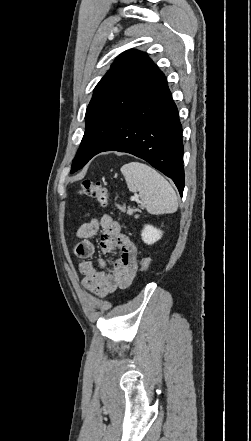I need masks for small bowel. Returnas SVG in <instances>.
<instances>
[{"instance_id":"1","label":"small bowel","mask_w":251,"mask_h":441,"mask_svg":"<svg viewBox=\"0 0 251 441\" xmlns=\"http://www.w3.org/2000/svg\"><path fill=\"white\" fill-rule=\"evenodd\" d=\"M80 240L75 247L81 259L78 270L83 275V286L93 294L104 297L116 289L127 288L137 271V247L122 233L121 225L110 215L83 223L75 233ZM100 236L103 253L119 250L120 256L109 266L103 259L94 260L95 245L92 239Z\"/></svg>"}]
</instances>
